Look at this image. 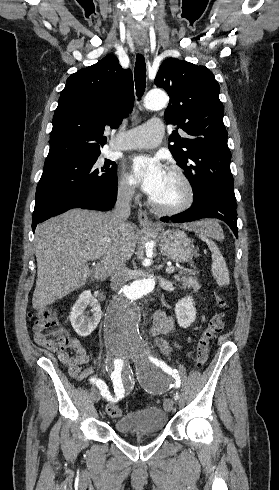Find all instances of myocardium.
<instances>
[{
    "mask_svg": "<svg viewBox=\"0 0 279 490\" xmlns=\"http://www.w3.org/2000/svg\"><path fill=\"white\" fill-rule=\"evenodd\" d=\"M167 172L173 174L182 183L184 188V197L181 201L173 205H164L153 199L150 201V206L156 213L160 215L176 216L191 207L195 199V191L191 180L188 178L181 167L177 165H171L167 168Z\"/></svg>",
    "mask_w": 279,
    "mask_h": 490,
    "instance_id": "obj_1",
    "label": "myocardium"
}]
</instances>
